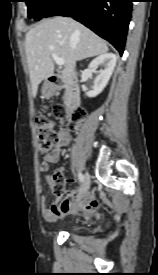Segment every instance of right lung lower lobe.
Returning <instances> with one entry per match:
<instances>
[{"label":"right lung lower lobe","instance_id":"right-lung-lower-lobe-1","mask_svg":"<svg viewBox=\"0 0 158 275\" xmlns=\"http://www.w3.org/2000/svg\"><path fill=\"white\" fill-rule=\"evenodd\" d=\"M132 1L61 0L45 17L71 16L109 41L122 55L131 18Z\"/></svg>","mask_w":158,"mask_h":275}]
</instances>
